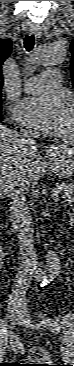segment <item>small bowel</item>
I'll return each mask as SVG.
<instances>
[{
  "mask_svg": "<svg viewBox=\"0 0 74 366\" xmlns=\"http://www.w3.org/2000/svg\"><path fill=\"white\" fill-rule=\"evenodd\" d=\"M55 273H56V268L49 269L48 277L54 276Z\"/></svg>",
  "mask_w": 74,
  "mask_h": 366,
  "instance_id": "c3829d8e",
  "label": "small bowel"
}]
</instances>
